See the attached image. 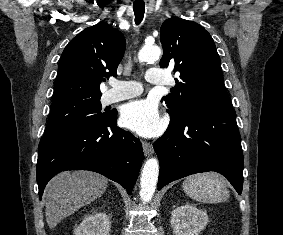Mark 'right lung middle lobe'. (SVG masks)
<instances>
[{
  "label": "right lung middle lobe",
  "mask_w": 283,
  "mask_h": 235,
  "mask_svg": "<svg viewBox=\"0 0 283 235\" xmlns=\"http://www.w3.org/2000/svg\"><path fill=\"white\" fill-rule=\"evenodd\" d=\"M106 115L107 113H101L100 97H73L53 102L43 138L92 124Z\"/></svg>",
  "instance_id": "right-lung-middle-lobe-1"
}]
</instances>
